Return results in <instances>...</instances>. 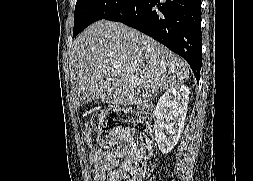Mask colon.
Here are the masks:
<instances>
[{
    "label": "colon",
    "mask_w": 253,
    "mask_h": 181,
    "mask_svg": "<svg viewBox=\"0 0 253 181\" xmlns=\"http://www.w3.org/2000/svg\"><path fill=\"white\" fill-rule=\"evenodd\" d=\"M85 136L94 151L103 150L122 140L130 141L133 154L122 170L111 176L110 181H142L153 141L146 119L121 110L99 112L87 124Z\"/></svg>",
    "instance_id": "obj_1"
}]
</instances>
